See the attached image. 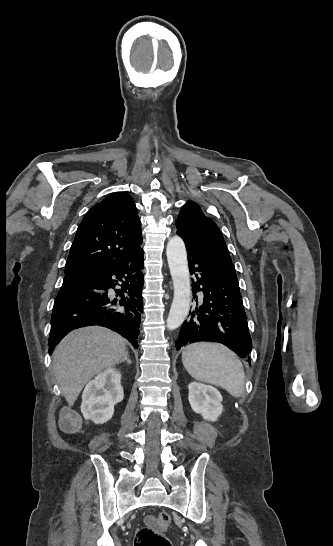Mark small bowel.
I'll use <instances>...</instances> for the list:
<instances>
[{
    "label": "small bowel",
    "instance_id": "1",
    "mask_svg": "<svg viewBox=\"0 0 333 546\" xmlns=\"http://www.w3.org/2000/svg\"><path fill=\"white\" fill-rule=\"evenodd\" d=\"M76 422V418L73 416H66L60 421V428L64 432H71L74 430V423Z\"/></svg>",
    "mask_w": 333,
    "mask_h": 546
}]
</instances>
